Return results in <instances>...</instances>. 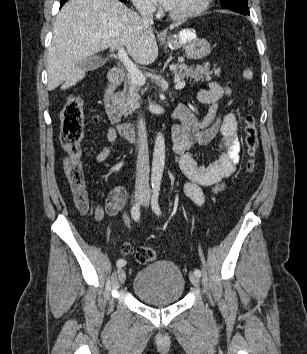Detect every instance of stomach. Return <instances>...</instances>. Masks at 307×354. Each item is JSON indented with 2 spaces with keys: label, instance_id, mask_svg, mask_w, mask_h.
I'll use <instances>...</instances> for the list:
<instances>
[{
  "label": "stomach",
  "instance_id": "1",
  "mask_svg": "<svg viewBox=\"0 0 307 354\" xmlns=\"http://www.w3.org/2000/svg\"><path fill=\"white\" fill-rule=\"evenodd\" d=\"M165 43L172 49L184 46L185 56L192 60L203 59L211 52L210 43L206 39L196 38L194 29H184L177 35L169 36Z\"/></svg>",
  "mask_w": 307,
  "mask_h": 354
}]
</instances>
